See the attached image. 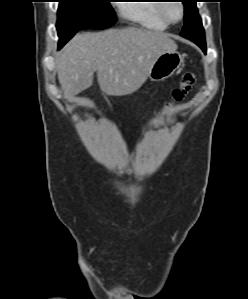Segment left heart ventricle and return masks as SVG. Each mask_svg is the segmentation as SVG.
<instances>
[{
    "instance_id": "left-heart-ventricle-1",
    "label": "left heart ventricle",
    "mask_w": 248,
    "mask_h": 299,
    "mask_svg": "<svg viewBox=\"0 0 248 299\" xmlns=\"http://www.w3.org/2000/svg\"><path fill=\"white\" fill-rule=\"evenodd\" d=\"M168 16L172 20H177L180 17V8L176 3H170L166 9Z\"/></svg>"
}]
</instances>
